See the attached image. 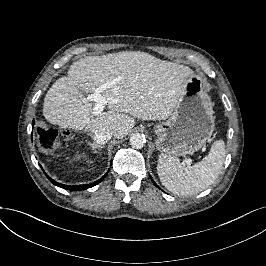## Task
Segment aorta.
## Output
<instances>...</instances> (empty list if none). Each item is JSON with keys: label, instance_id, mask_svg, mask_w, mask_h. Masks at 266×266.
Returning <instances> with one entry per match:
<instances>
[{"label": "aorta", "instance_id": "aorta-1", "mask_svg": "<svg viewBox=\"0 0 266 266\" xmlns=\"http://www.w3.org/2000/svg\"><path fill=\"white\" fill-rule=\"evenodd\" d=\"M129 142L133 148L141 149L146 144V138L143 134L135 133L131 135Z\"/></svg>", "mask_w": 266, "mask_h": 266}]
</instances>
